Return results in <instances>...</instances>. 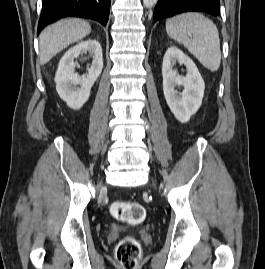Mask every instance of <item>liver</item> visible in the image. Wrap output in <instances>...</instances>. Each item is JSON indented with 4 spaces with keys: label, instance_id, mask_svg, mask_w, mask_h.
I'll list each match as a JSON object with an SVG mask.
<instances>
[{
    "label": "liver",
    "instance_id": "liver-1",
    "mask_svg": "<svg viewBox=\"0 0 265 269\" xmlns=\"http://www.w3.org/2000/svg\"><path fill=\"white\" fill-rule=\"evenodd\" d=\"M91 32L87 21L69 18L45 28L39 36L40 63L46 64L68 45L86 37Z\"/></svg>",
    "mask_w": 265,
    "mask_h": 269
}]
</instances>
